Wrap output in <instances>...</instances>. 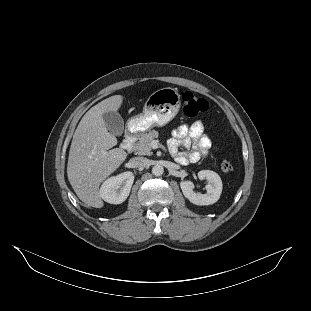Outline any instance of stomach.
Segmentation results:
<instances>
[{"instance_id": "0dacf381", "label": "stomach", "mask_w": 311, "mask_h": 311, "mask_svg": "<svg viewBox=\"0 0 311 311\" xmlns=\"http://www.w3.org/2000/svg\"><path fill=\"white\" fill-rule=\"evenodd\" d=\"M180 94L171 87L153 92L146 100L143 111L130 117L126 122V132L143 135L154 127H162L173 120L180 110Z\"/></svg>"}]
</instances>
